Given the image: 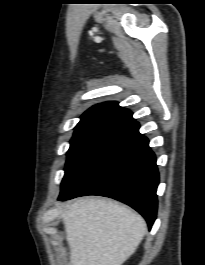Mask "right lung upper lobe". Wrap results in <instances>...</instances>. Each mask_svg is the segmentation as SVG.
<instances>
[{
	"label": "right lung upper lobe",
	"instance_id": "1",
	"mask_svg": "<svg viewBox=\"0 0 205 265\" xmlns=\"http://www.w3.org/2000/svg\"><path fill=\"white\" fill-rule=\"evenodd\" d=\"M135 122L132 112L121 108L117 102L94 105L82 116L75 131L95 126H125Z\"/></svg>",
	"mask_w": 205,
	"mask_h": 265
}]
</instances>
